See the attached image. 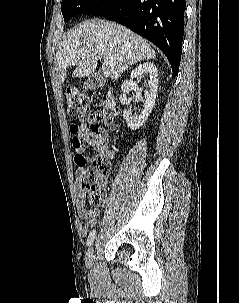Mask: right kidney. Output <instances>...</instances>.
Returning a JSON list of instances; mask_svg holds the SVG:
<instances>
[{
  "mask_svg": "<svg viewBox=\"0 0 239 303\" xmlns=\"http://www.w3.org/2000/svg\"><path fill=\"white\" fill-rule=\"evenodd\" d=\"M143 74H147L149 76V90L145 92L144 109L140 115L134 116L131 114V110L129 109H125L123 112V117L131 130L139 129L146 122L155 105L158 90V69L153 63H142L132 70L131 79L129 81H125L121 86L122 94L120 95L119 100L123 105H128L129 100L126 97V93L130 90L136 91L138 98L141 97V90L137 88V83L134 82L133 79Z\"/></svg>",
  "mask_w": 239,
  "mask_h": 303,
  "instance_id": "right-kidney-1",
  "label": "right kidney"
}]
</instances>
